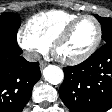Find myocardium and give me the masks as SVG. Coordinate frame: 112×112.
I'll return each instance as SVG.
<instances>
[{
    "mask_svg": "<svg viewBox=\"0 0 112 112\" xmlns=\"http://www.w3.org/2000/svg\"><path fill=\"white\" fill-rule=\"evenodd\" d=\"M86 18L91 19L95 23L96 29H97L96 37H95L92 45L90 46V48L85 53H83L82 55H80L78 57L70 58V59H66V58L60 57L58 55V53H57V50H58L59 45L68 38V36L72 32L73 28L81 20L86 19ZM102 34H103L102 25H101L100 21L95 16H93L91 14L79 15L78 17H76L75 19H73L71 22H69L59 32V34L54 38V40H53V42L51 44L52 52H53V54L56 57H58L64 63L72 64V65L80 64V63L86 61L87 59H89L94 54V52L97 50V48H98V46H99V44L101 42V39H102Z\"/></svg>",
    "mask_w": 112,
    "mask_h": 112,
    "instance_id": "1",
    "label": "myocardium"
}]
</instances>
